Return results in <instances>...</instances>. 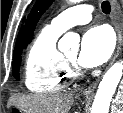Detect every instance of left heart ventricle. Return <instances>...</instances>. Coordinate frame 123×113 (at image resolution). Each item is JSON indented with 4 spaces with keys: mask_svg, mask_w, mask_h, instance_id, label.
<instances>
[{
    "mask_svg": "<svg viewBox=\"0 0 123 113\" xmlns=\"http://www.w3.org/2000/svg\"><path fill=\"white\" fill-rule=\"evenodd\" d=\"M67 56L70 57L71 59H75L76 53H68Z\"/></svg>",
    "mask_w": 123,
    "mask_h": 113,
    "instance_id": "obj_1",
    "label": "left heart ventricle"
}]
</instances>
